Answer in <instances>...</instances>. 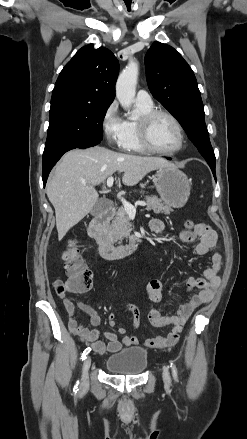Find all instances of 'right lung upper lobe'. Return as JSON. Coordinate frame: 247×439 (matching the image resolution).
Returning a JSON list of instances; mask_svg holds the SVG:
<instances>
[{
  "label": "right lung upper lobe",
  "instance_id": "cb5924a9",
  "mask_svg": "<svg viewBox=\"0 0 247 439\" xmlns=\"http://www.w3.org/2000/svg\"><path fill=\"white\" fill-rule=\"evenodd\" d=\"M119 63L113 53L93 44L82 47L60 72L51 106L60 103L110 105L115 97Z\"/></svg>",
  "mask_w": 247,
  "mask_h": 439
}]
</instances>
